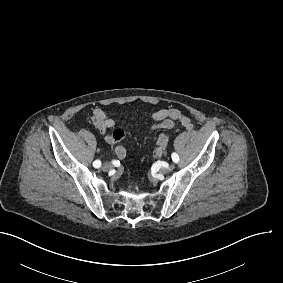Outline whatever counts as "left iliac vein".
I'll return each instance as SVG.
<instances>
[{
	"instance_id": "1",
	"label": "left iliac vein",
	"mask_w": 283,
	"mask_h": 283,
	"mask_svg": "<svg viewBox=\"0 0 283 283\" xmlns=\"http://www.w3.org/2000/svg\"><path fill=\"white\" fill-rule=\"evenodd\" d=\"M174 167V164H171L169 167H162L160 169V172L165 174V173H168L170 169H172Z\"/></svg>"
}]
</instances>
